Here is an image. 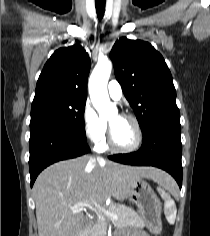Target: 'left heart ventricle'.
I'll list each match as a JSON object with an SVG mask.
<instances>
[{
    "mask_svg": "<svg viewBox=\"0 0 210 236\" xmlns=\"http://www.w3.org/2000/svg\"><path fill=\"white\" fill-rule=\"evenodd\" d=\"M112 137L114 143L120 147H129L133 145L136 139V130L134 124L123 117L113 115L109 119Z\"/></svg>",
    "mask_w": 210,
    "mask_h": 236,
    "instance_id": "1",
    "label": "left heart ventricle"
}]
</instances>
